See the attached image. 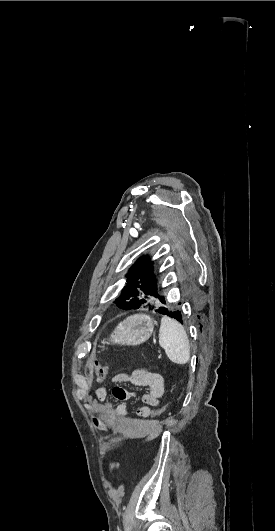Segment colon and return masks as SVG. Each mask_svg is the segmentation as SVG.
Listing matches in <instances>:
<instances>
[{
	"label": "colon",
	"instance_id": "1",
	"mask_svg": "<svg viewBox=\"0 0 275 531\" xmlns=\"http://www.w3.org/2000/svg\"><path fill=\"white\" fill-rule=\"evenodd\" d=\"M93 369L95 373L96 382L99 384L105 382L108 371L107 363L101 360H95L93 362ZM164 403H167V400H163V402H160L150 414V419L152 421H157L159 418L162 417L165 407Z\"/></svg>",
	"mask_w": 275,
	"mask_h": 531
}]
</instances>
